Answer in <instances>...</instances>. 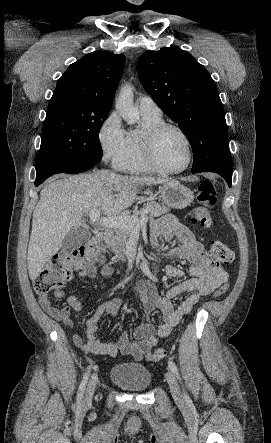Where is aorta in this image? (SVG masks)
<instances>
[{
  "instance_id": "762f6f07",
  "label": "aorta",
  "mask_w": 271,
  "mask_h": 443,
  "mask_svg": "<svg viewBox=\"0 0 271 443\" xmlns=\"http://www.w3.org/2000/svg\"><path fill=\"white\" fill-rule=\"evenodd\" d=\"M133 90L134 88L130 86V84L123 86L115 104L117 112H119L121 118H123L127 124H136V122L140 120L139 110L138 108H134Z\"/></svg>"
}]
</instances>
